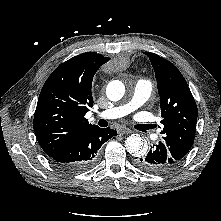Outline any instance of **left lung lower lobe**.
I'll list each match as a JSON object with an SVG mask.
<instances>
[{
  "instance_id": "0a47b994",
  "label": "left lung lower lobe",
  "mask_w": 221,
  "mask_h": 221,
  "mask_svg": "<svg viewBox=\"0 0 221 221\" xmlns=\"http://www.w3.org/2000/svg\"><path fill=\"white\" fill-rule=\"evenodd\" d=\"M178 164L171 150L161 141L153 144L147 154L136 160V165L140 169L153 174L167 173Z\"/></svg>"
}]
</instances>
